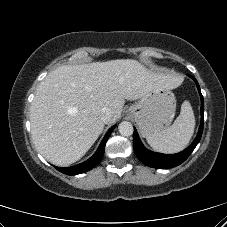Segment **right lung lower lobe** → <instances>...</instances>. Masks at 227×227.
Listing matches in <instances>:
<instances>
[{
  "label": "right lung lower lobe",
  "mask_w": 227,
  "mask_h": 227,
  "mask_svg": "<svg viewBox=\"0 0 227 227\" xmlns=\"http://www.w3.org/2000/svg\"><path fill=\"white\" fill-rule=\"evenodd\" d=\"M114 128H115V126L111 127L107 131V133L105 134L103 140L101 141L97 151L88 160H86L85 162H83L81 164L71 166V167H66V168L55 167V168L58 171H60L64 174H67V175L81 174V173L87 172V171L91 170L92 168H94L101 161V159L104 155L105 144Z\"/></svg>",
  "instance_id": "right-lung-lower-lobe-1"
}]
</instances>
